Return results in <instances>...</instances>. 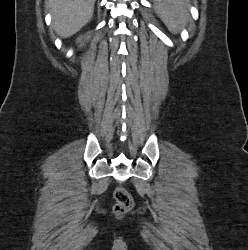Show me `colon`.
Wrapping results in <instances>:
<instances>
[{
  "label": "colon",
  "instance_id": "1",
  "mask_svg": "<svg viewBox=\"0 0 248 250\" xmlns=\"http://www.w3.org/2000/svg\"><path fill=\"white\" fill-rule=\"evenodd\" d=\"M114 198L116 203L113 211L116 215L123 216L133 208V198L124 187L119 186L115 189Z\"/></svg>",
  "mask_w": 248,
  "mask_h": 250
}]
</instances>
